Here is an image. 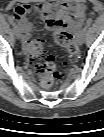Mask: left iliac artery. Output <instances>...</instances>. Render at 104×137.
Instances as JSON below:
<instances>
[{"label":"left iliac artery","instance_id":"1","mask_svg":"<svg viewBox=\"0 0 104 137\" xmlns=\"http://www.w3.org/2000/svg\"><path fill=\"white\" fill-rule=\"evenodd\" d=\"M92 23V20L91 19H88L87 22H86V26L85 28L83 29V32H86L87 28H89V26L91 25Z\"/></svg>","mask_w":104,"mask_h":137}]
</instances>
